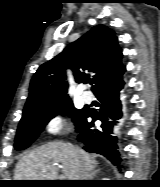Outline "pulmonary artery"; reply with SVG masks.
Returning a JSON list of instances; mask_svg holds the SVG:
<instances>
[{
	"instance_id": "pulmonary-artery-1",
	"label": "pulmonary artery",
	"mask_w": 160,
	"mask_h": 187,
	"mask_svg": "<svg viewBox=\"0 0 160 187\" xmlns=\"http://www.w3.org/2000/svg\"><path fill=\"white\" fill-rule=\"evenodd\" d=\"M82 100H83L84 103L89 104L93 101V97L90 93H84L82 95Z\"/></svg>"
}]
</instances>
